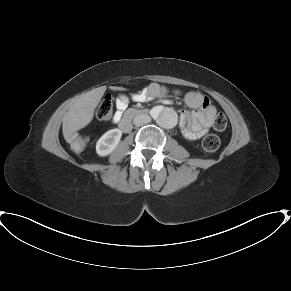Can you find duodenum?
I'll return each instance as SVG.
<instances>
[{
    "instance_id": "1",
    "label": "duodenum",
    "mask_w": 291,
    "mask_h": 291,
    "mask_svg": "<svg viewBox=\"0 0 291 291\" xmlns=\"http://www.w3.org/2000/svg\"><path fill=\"white\" fill-rule=\"evenodd\" d=\"M149 113L148 109L130 108L123 114L119 127L121 131L128 132L130 130V120L136 116H143Z\"/></svg>"
}]
</instances>
